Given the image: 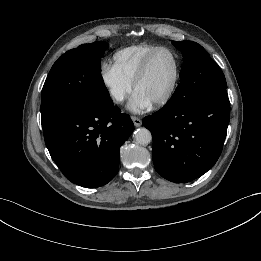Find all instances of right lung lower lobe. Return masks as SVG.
Here are the masks:
<instances>
[{
  "label": "right lung lower lobe",
  "instance_id": "1",
  "mask_svg": "<svg viewBox=\"0 0 261 261\" xmlns=\"http://www.w3.org/2000/svg\"><path fill=\"white\" fill-rule=\"evenodd\" d=\"M127 114L110 104L76 112L43 129L49 153L71 182L96 188L118 173L119 149L133 132Z\"/></svg>",
  "mask_w": 261,
  "mask_h": 261
}]
</instances>
